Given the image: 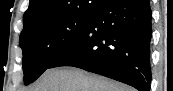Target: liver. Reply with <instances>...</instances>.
<instances>
[{
    "label": "liver",
    "instance_id": "liver-1",
    "mask_svg": "<svg viewBox=\"0 0 173 91\" xmlns=\"http://www.w3.org/2000/svg\"><path fill=\"white\" fill-rule=\"evenodd\" d=\"M27 91H133L129 86L76 67L46 70Z\"/></svg>",
    "mask_w": 173,
    "mask_h": 91
}]
</instances>
